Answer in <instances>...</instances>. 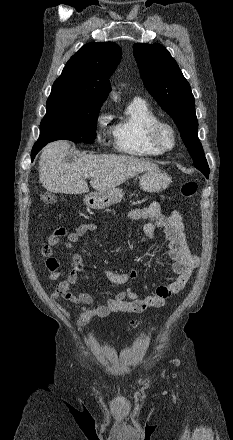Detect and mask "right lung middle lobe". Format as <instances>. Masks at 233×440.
Returning a JSON list of instances; mask_svg holds the SVG:
<instances>
[{
	"instance_id": "obj_1",
	"label": "right lung middle lobe",
	"mask_w": 233,
	"mask_h": 440,
	"mask_svg": "<svg viewBox=\"0 0 233 440\" xmlns=\"http://www.w3.org/2000/svg\"><path fill=\"white\" fill-rule=\"evenodd\" d=\"M101 106L87 102H47L38 142L66 139L75 143H93Z\"/></svg>"
}]
</instances>
